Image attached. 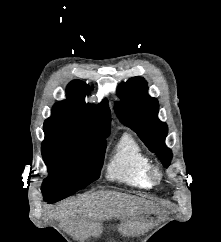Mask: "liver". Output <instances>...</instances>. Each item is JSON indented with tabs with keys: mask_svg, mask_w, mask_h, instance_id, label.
<instances>
[{
	"mask_svg": "<svg viewBox=\"0 0 221 242\" xmlns=\"http://www.w3.org/2000/svg\"><path fill=\"white\" fill-rule=\"evenodd\" d=\"M143 201L136 197L116 192H97L91 195L68 200L53 212L54 218L67 222L69 232L81 239L96 233L100 221L120 215L133 216L142 212Z\"/></svg>",
	"mask_w": 221,
	"mask_h": 242,
	"instance_id": "6515ba94",
	"label": "liver"
}]
</instances>
